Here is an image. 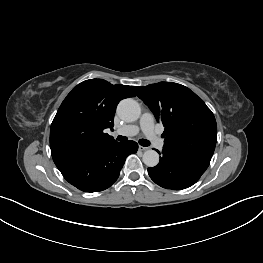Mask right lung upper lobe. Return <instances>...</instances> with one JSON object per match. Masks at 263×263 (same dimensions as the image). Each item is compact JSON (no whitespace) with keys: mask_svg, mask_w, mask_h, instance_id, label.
Masks as SVG:
<instances>
[{"mask_svg":"<svg viewBox=\"0 0 263 263\" xmlns=\"http://www.w3.org/2000/svg\"><path fill=\"white\" fill-rule=\"evenodd\" d=\"M132 87L91 79L73 88L50 128V148L55 164L116 142L104 130H113L117 104L135 96Z\"/></svg>","mask_w":263,"mask_h":263,"instance_id":"1","label":"right lung upper lobe"}]
</instances>
